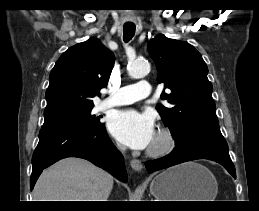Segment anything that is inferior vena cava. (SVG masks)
I'll return each instance as SVG.
<instances>
[{
  "mask_svg": "<svg viewBox=\"0 0 259 211\" xmlns=\"http://www.w3.org/2000/svg\"><path fill=\"white\" fill-rule=\"evenodd\" d=\"M119 150L122 151V152H124V151L126 150V148L123 147V146H119Z\"/></svg>",
  "mask_w": 259,
  "mask_h": 211,
  "instance_id": "602c4592",
  "label": "inferior vena cava"
}]
</instances>
